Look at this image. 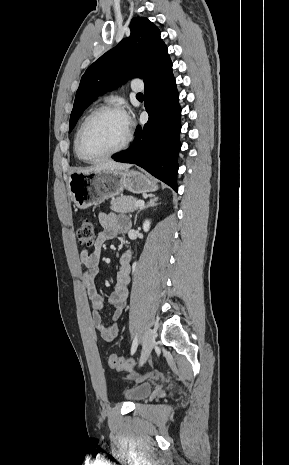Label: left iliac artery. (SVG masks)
<instances>
[{
	"label": "left iliac artery",
	"instance_id": "1",
	"mask_svg": "<svg viewBox=\"0 0 289 465\" xmlns=\"http://www.w3.org/2000/svg\"><path fill=\"white\" fill-rule=\"evenodd\" d=\"M137 346H138V338L137 336H135L133 343H132V347H131V355L135 353Z\"/></svg>",
	"mask_w": 289,
	"mask_h": 465
}]
</instances>
